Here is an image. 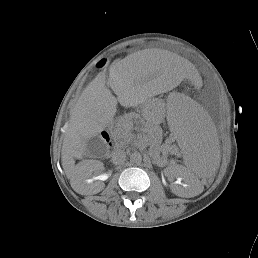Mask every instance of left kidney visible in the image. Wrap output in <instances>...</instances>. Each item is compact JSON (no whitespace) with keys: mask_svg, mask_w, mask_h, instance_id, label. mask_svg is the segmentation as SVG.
I'll use <instances>...</instances> for the list:
<instances>
[{"mask_svg":"<svg viewBox=\"0 0 258 258\" xmlns=\"http://www.w3.org/2000/svg\"><path fill=\"white\" fill-rule=\"evenodd\" d=\"M176 195L181 196V197H190L193 196V194L190 193L188 187H182L178 186L176 187Z\"/></svg>","mask_w":258,"mask_h":258,"instance_id":"left-kidney-1","label":"left kidney"}]
</instances>
